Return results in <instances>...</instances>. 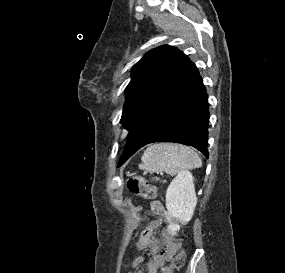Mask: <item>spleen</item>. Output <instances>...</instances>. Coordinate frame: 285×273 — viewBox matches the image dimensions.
Wrapping results in <instances>:
<instances>
[{"mask_svg":"<svg viewBox=\"0 0 285 273\" xmlns=\"http://www.w3.org/2000/svg\"><path fill=\"white\" fill-rule=\"evenodd\" d=\"M140 169L151 174L162 173L170 176L180 174L185 170L200 168L201 158L191 148L181 144L159 143L146 149Z\"/></svg>","mask_w":285,"mask_h":273,"instance_id":"spleen-1","label":"spleen"}]
</instances>
